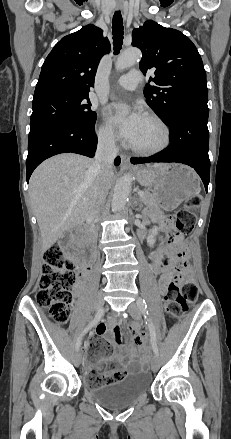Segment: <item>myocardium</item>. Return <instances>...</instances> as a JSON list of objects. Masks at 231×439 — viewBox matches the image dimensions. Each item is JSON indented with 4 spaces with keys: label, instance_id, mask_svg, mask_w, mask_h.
I'll return each instance as SVG.
<instances>
[{
    "label": "myocardium",
    "instance_id": "myocardium-1",
    "mask_svg": "<svg viewBox=\"0 0 231 439\" xmlns=\"http://www.w3.org/2000/svg\"><path fill=\"white\" fill-rule=\"evenodd\" d=\"M145 118L156 123L160 127V129L162 131L161 142L159 144H157L156 146H153L150 148H140V147H135L133 145H130L129 148L133 152H135L139 155L149 156V155H154V154L160 153L169 146L170 141H171V131H170L168 124L159 115H157L155 113H147L145 115Z\"/></svg>",
    "mask_w": 231,
    "mask_h": 439
}]
</instances>
